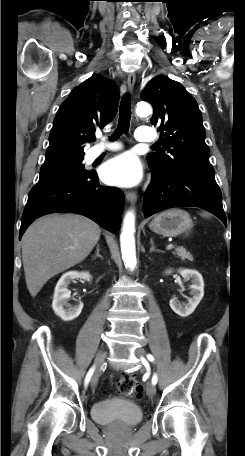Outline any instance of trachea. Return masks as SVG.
I'll use <instances>...</instances> for the list:
<instances>
[{
	"label": "trachea",
	"mask_w": 245,
	"mask_h": 456,
	"mask_svg": "<svg viewBox=\"0 0 245 456\" xmlns=\"http://www.w3.org/2000/svg\"><path fill=\"white\" fill-rule=\"evenodd\" d=\"M130 119H131V101L130 96L125 95L120 103L119 108V120H118V128L115 131V134L112 136V140H116L120 135L123 133H127L130 126Z\"/></svg>",
	"instance_id": "1"
}]
</instances>
